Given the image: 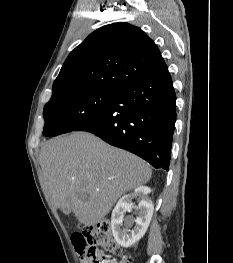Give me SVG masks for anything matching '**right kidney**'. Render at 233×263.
Segmentation results:
<instances>
[{
    "label": "right kidney",
    "mask_w": 233,
    "mask_h": 263,
    "mask_svg": "<svg viewBox=\"0 0 233 263\" xmlns=\"http://www.w3.org/2000/svg\"><path fill=\"white\" fill-rule=\"evenodd\" d=\"M151 189L147 186L137 187L133 193L124 195L116 204L111 216L112 233L119 245L128 248L138 242L146 233L150 224L154 205L152 200L148 197ZM138 200V206L134 207L132 199ZM133 208L138 211V217L133 220L129 219L127 228H122L124 214L126 211L130 212ZM133 222L136 223L134 229L129 230Z\"/></svg>",
    "instance_id": "obj_1"
}]
</instances>
